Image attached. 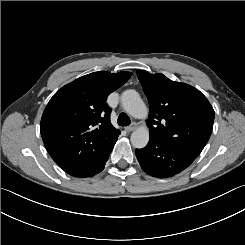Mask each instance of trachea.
<instances>
[{
  "label": "trachea",
  "instance_id": "obj_1",
  "mask_svg": "<svg viewBox=\"0 0 245 245\" xmlns=\"http://www.w3.org/2000/svg\"><path fill=\"white\" fill-rule=\"evenodd\" d=\"M131 123V120L130 118L127 116V114L125 113H121L118 117V124L120 126H128L130 125Z\"/></svg>",
  "mask_w": 245,
  "mask_h": 245
}]
</instances>
